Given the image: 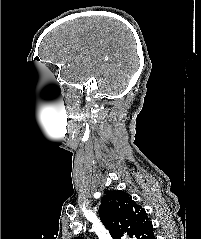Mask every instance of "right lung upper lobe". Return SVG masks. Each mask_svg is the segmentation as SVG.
Returning <instances> with one entry per match:
<instances>
[{
	"label": "right lung upper lobe",
	"mask_w": 201,
	"mask_h": 239,
	"mask_svg": "<svg viewBox=\"0 0 201 239\" xmlns=\"http://www.w3.org/2000/svg\"><path fill=\"white\" fill-rule=\"evenodd\" d=\"M99 217L113 239H152L153 226L146 211L121 190L107 191Z\"/></svg>",
	"instance_id": "obj_1"
}]
</instances>
